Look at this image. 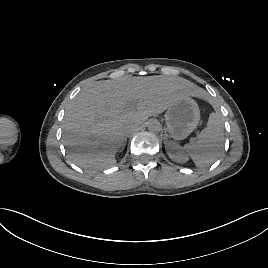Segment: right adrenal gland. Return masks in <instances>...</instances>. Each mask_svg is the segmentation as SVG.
<instances>
[{"instance_id": "obj_1", "label": "right adrenal gland", "mask_w": 268, "mask_h": 268, "mask_svg": "<svg viewBox=\"0 0 268 268\" xmlns=\"http://www.w3.org/2000/svg\"><path fill=\"white\" fill-rule=\"evenodd\" d=\"M126 142H127V140L125 139V140H124V144H123V146H122V149L125 147Z\"/></svg>"}]
</instances>
